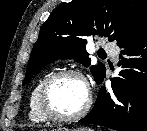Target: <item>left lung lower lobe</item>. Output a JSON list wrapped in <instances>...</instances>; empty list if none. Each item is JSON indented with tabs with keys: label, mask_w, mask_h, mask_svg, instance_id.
<instances>
[{
	"label": "left lung lower lobe",
	"mask_w": 147,
	"mask_h": 131,
	"mask_svg": "<svg viewBox=\"0 0 147 131\" xmlns=\"http://www.w3.org/2000/svg\"><path fill=\"white\" fill-rule=\"evenodd\" d=\"M119 77L103 86L91 112L79 122L117 131H147V27L119 46Z\"/></svg>",
	"instance_id": "1"
}]
</instances>
